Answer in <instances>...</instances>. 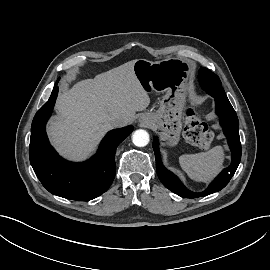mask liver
Segmentation results:
<instances>
[{
  "mask_svg": "<svg viewBox=\"0 0 270 270\" xmlns=\"http://www.w3.org/2000/svg\"><path fill=\"white\" fill-rule=\"evenodd\" d=\"M135 61L77 82L58 97L59 117L50 122L48 133L62 155L75 160L87 157L113 128L111 118L121 117L126 125L133 122L136 111L148 107V93L133 71Z\"/></svg>",
  "mask_w": 270,
  "mask_h": 270,
  "instance_id": "6515ba94",
  "label": "liver"
}]
</instances>
